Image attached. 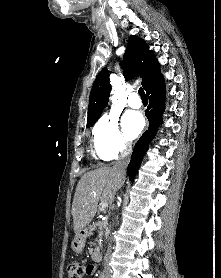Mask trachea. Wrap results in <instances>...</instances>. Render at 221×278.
Returning <instances> with one entry per match:
<instances>
[{"instance_id": "3493384b", "label": "trachea", "mask_w": 221, "mask_h": 278, "mask_svg": "<svg viewBox=\"0 0 221 278\" xmlns=\"http://www.w3.org/2000/svg\"><path fill=\"white\" fill-rule=\"evenodd\" d=\"M138 93H139L142 100H148L147 95L145 94L142 87L139 88Z\"/></svg>"}]
</instances>
